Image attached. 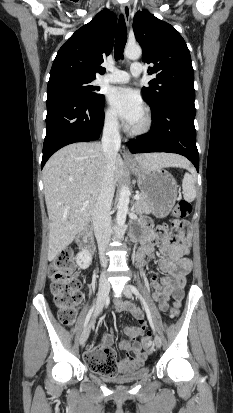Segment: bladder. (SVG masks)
<instances>
[{
	"label": "bladder",
	"mask_w": 233,
	"mask_h": 413,
	"mask_svg": "<svg viewBox=\"0 0 233 413\" xmlns=\"http://www.w3.org/2000/svg\"><path fill=\"white\" fill-rule=\"evenodd\" d=\"M148 372H149V368L145 366L144 364H141L138 366L126 368L123 371L113 374V375L103 374V373H99V374L106 381L121 383V382H128V381L140 379L144 377L146 374H148Z\"/></svg>",
	"instance_id": "1"
}]
</instances>
